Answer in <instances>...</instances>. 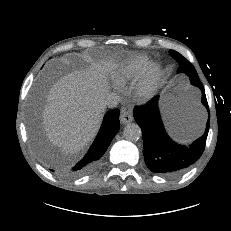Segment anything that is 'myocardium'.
I'll use <instances>...</instances> for the list:
<instances>
[{
	"label": "myocardium",
	"instance_id": "myocardium-1",
	"mask_svg": "<svg viewBox=\"0 0 231 231\" xmlns=\"http://www.w3.org/2000/svg\"><path fill=\"white\" fill-rule=\"evenodd\" d=\"M160 78V68L156 65L149 66L134 89V97L139 101L150 100L158 89Z\"/></svg>",
	"mask_w": 231,
	"mask_h": 231
}]
</instances>
